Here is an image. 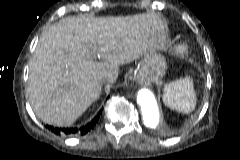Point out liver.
Returning <instances> with one entry per match:
<instances>
[{"instance_id":"liver-1","label":"liver","mask_w":240,"mask_h":160,"mask_svg":"<svg viewBox=\"0 0 240 160\" xmlns=\"http://www.w3.org/2000/svg\"><path fill=\"white\" fill-rule=\"evenodd\" d=\"M164 25L155 14L68 17L50 26L30 61L28 94L36 116L69 125L99 97L103 78L119 66L156 52Z\"/></svg>"}]
</instances>
